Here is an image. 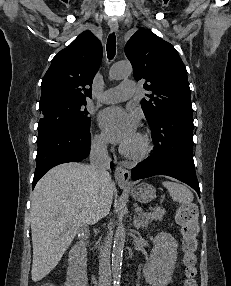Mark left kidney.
I'll return each mask as SVG.
<instances>
[{
	"mask_svg": "<svg viewBox=\"0 0 231 286\" xmlns=\"http://www.w3.org/2000/svg\"><path fill=\"white\" fill-rule=\"evenodd\" d=\"M154 248L143 268L145 280L151 286H167L177 260L178 243L169 233L161 232L153 240Z\"/></svg>",
	"mask_w": 231,
	"mask_h": 286,
	"instance_id": "obj_1",
	"label": "left kidney"
}]
</instances>
